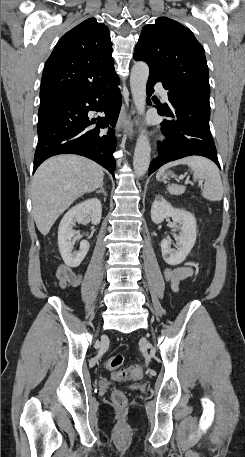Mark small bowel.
I'll return each instance as SVG.
<instances>
[{"instance_id":"c3829d8e","label":"small bowel","mask_w":245,"mask_h":457,"mask_svg":"<svg viewBox=\"0 0 245 457\" xmlns=\"http://www.w3.org/2000/svg\"><path fill=\"white\" fill-rule=\"evenodd\" d=\"M194 270L191 266L170 267L165 269L164 276L170 284L173 291H178L179 284L182 280L191 277ZM55 284L60 288L67 286H79L82 280V275L79 272H74L67 265H59L54 272Z\"/></svg>"}]
</instances>
